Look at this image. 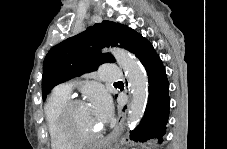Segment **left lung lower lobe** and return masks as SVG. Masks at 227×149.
I'll return each instance as SVG.
<instances>
[{
  "mask_svg": "<svg viewBox=\"0 0 227 149\" xmlns=\"http://www.w3.org/2000/svg\"><path fill=\"white\" fill-rule=\"evenodd\" d=\"M127 50L141 61L149 81V97L145 114L139 126L134 131H130V138L136 142L158 138L161 142L160 139L166 132L170 108L169 83L165 67L152 44L134 30L129 37Z\"/></svg>",
  "mask_w": 227,
  "mask_h": 149,
  "instance_id": "1",
  "label": "left lung lower lobe"
}]
</instances>
